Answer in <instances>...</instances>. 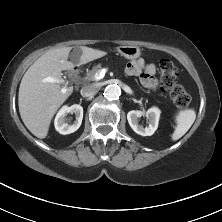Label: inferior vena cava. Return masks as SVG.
Segmentation results:
<instances>
[{
    "instance_id": "inferior-vena-cava-1",
    "label": "inferior vena cava",
    "mask_w": 222,
    "mask_h": 222,
    "mask_svg": "<svg viewBox=\"0 0 222 222\" xmlns=\"http://www.w3.org/2000/svg\"><path fill=\"white\" fill-rule=\"evenodd\" d=\"M99 87L97 84H90L82 87L80 93L83 97H91L97 94Z\"/></svg>"
}]
</instances>
